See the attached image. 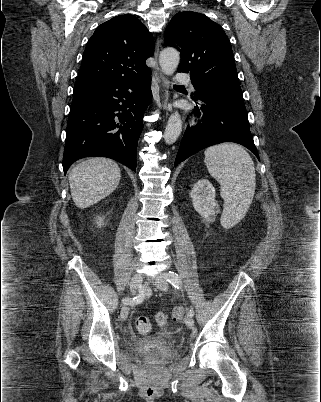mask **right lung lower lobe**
Instances as JSON below:
<instances>
[{"mask_svg": "<svg viewBox=\"0 0 321 402\" xmlns=\"http://www.w3.org/2000/svg\"><path fill=\"white\" fill-rule=\"evenodd\" d=\"M150 86L147 73L74 88L62 162L65 173L88 156L109 157L135 171L143 115L152 99Z\"/></svg>", "mask_w": 321, "mask_h": 402, "instance_id": "98d812e1", "label": "right lung lower lobe"}]
</instances>
